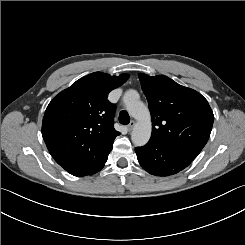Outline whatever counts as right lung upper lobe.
Instances as JSON below:
<instances>
[{"instance_id":"1","label":"right lung upper lobe","mask_w":245,"mask_h":245,"mask_svg":"<svg viewBox=\"0 0 245 245\" xmlns=\"http://www.w3.org/2000/svg\"><path fill=\"white\" fill-rule=\"evenodd\" d=\"M128 78V74L91 73L49 103L43 139L55 161L70 174L88 175L108 157L120 133L113 127L116 106L107 97Z\"/></svg>"}]
</instances>
